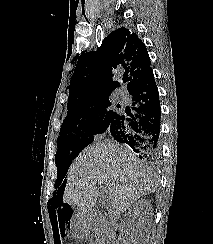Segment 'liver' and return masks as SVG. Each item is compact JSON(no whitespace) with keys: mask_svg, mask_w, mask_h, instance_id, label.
Instances as JSON below:
<instances>
[{"mask_svg":"<svg viewBox=\"0 0 213 244\" xmlns=\"http://www.w3.org/2000/svg\"><path fill=\"white\" fill-rule=\"evenodd\" d=\"M156 181L152 171L128 150L110 142L96 143L83 150L72 163L63 202L84 215L92 211L100 189L111 200L117 219L137 199L153 193Z\"/></svg>","mask_w":213,"mask_h":244,"instance_id":"6515ba94","label":"liver"}]
</instances>
